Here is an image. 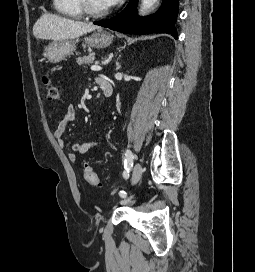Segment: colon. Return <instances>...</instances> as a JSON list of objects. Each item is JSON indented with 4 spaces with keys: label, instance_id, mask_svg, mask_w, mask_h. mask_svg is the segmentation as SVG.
<instances>
[{
    "label": "colon",
    "instance_id": "colon-1",
    "mask_svg": "<svg viewBox=\"0 0 255 272\" xmlns=\"http://www.w3.org/2000/svg\"><path fill=\"white\" fill-rule=\"evenodd\" d=\"M42 82L46 90V96L49 100H54L59 97V88L57 84L48 76L42 77ZM84 178L92 186H99L100 180L93 168L89 165L84 167Z\"/></svg>",
    "mask_w": 255,
    "mask_h": 272
}]
</instances>
